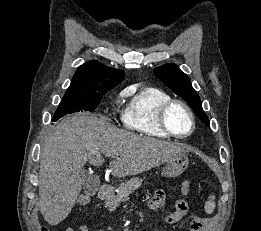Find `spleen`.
Returning a JSON list of instances; mask_svg holds the SVG:
<instances>
[{
	"mask_svg": "<svg viewBox=\"0 0 261 231\" xmlns=\"http://www.w3.org/2000/svg\"><path fill=\"white\" fill-rule=\"evenodd\" d=\"M214 196H209V200L205 204V211L207 213H212L215 208Z\"/></svg>",
	"mask_w": 261,
	"mask_h": 231,
	"instance_id": "3e777b00",
	"label": "spleen"
}]
</instances>
